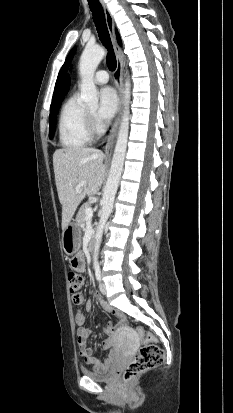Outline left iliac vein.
Returning a JSON list of instances; mask_svg holds the SVG:
<instances>
[{
	"mask_svg": "<svg viewBox=\"0 0 233 413\" xmlns=\"http://www.w3.org/2000/svg\"><path fill=\"white\" fill-rule=\"evenodd\" d=\"M99 289L103 295H106V286L103 282L99 283Z\"/></svg>",
	"mask_w": 233,
	"mask_h": 413,
	"instance_id": "left-iliac-vein-1",
	"label": "left iliac vein"
}]
</instances>
